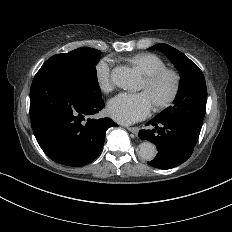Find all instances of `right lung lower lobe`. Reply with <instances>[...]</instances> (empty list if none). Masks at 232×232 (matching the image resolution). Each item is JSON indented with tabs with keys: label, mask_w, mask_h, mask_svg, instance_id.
<instances>
[{
	"label": "right lung lower lobe",
	"mask_w": 232,
	"mask_h": 232,
	"mask_svg": "<svg viewBox=\"0 0 232 232\" xmlns=\"http://www.w3.org/2000/svg\"><path fill=\"white\" fill-rule=\"evenodd\" d=\"M103 107L73 68L45 62L33 79L31 126L42 150L59 164L84 166L98 156L106 130L118 126L110 118H88Z\"/></svg>",
	"instance_id": "obj_1"
}]
</instances>
